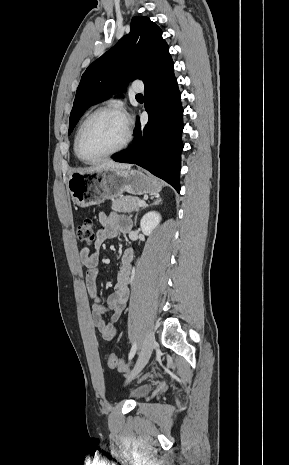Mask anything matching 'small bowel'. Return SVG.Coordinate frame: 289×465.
<instances>
[{"label": "small bowel", "mask_w": 289, "mask_h": 465, "mask_svg": "<svg viewBox=\"0 0 289 465\" xmlns=\"http://www.w3.org/2000/svg\"><path fill=\"white\" fill-rule=\"evenodd\" d=\"M98 219L102 227L96 233L95 251L91 252L88 247H83L80 250V261L86 268L83 280L88 295L93 300V324L103 339L110 341L116 334L115 324L120 318L129 297L133 252L131 249H126L123 252L114 292L108 297L106 304L101 301L97 286L99 253L107 240L114 238L119 233H128L131 230L132 223L128 218L116 212H100ZM107 313H110L108 319L106 318Z\"/></svg>", "instance_id": "1"}]
</instances>
